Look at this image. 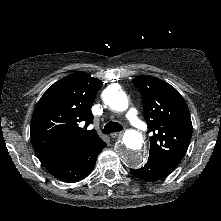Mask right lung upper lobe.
<instances>
[{"mask_svg":"<svg viewBox=\"0 0 221 221\" xmlns=\"http://www.w3.org/2000/svg\"><path fill=\"white\" fill-rule=\"evenodd\" d=\"M102 84L80 71L43 94L31 122V141L41 162L64 158L101 140L95 130H83L79 124L93 122L91 107Z\"/></svg>","mask_w":221,"mask_h":221,"instance_id":"right-lung-upper-lobe-1","label":"right lung upper lobe"}]
</instances>
